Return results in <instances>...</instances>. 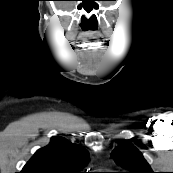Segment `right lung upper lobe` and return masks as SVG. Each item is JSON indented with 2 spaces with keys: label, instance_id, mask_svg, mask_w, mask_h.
Returning a JSON list of instances; mask_svg holds the SVG:
<instances>
[{
  "label": "right lung upper lobe",
  "instance_id": "cb5924a9",
  "mask_svg": "<svg viewBox=\"0 0 173 173\" xmlns=\"http://www.w3.org/2000/svg\"><path fill=\"white\" fill-rule=\"evenodd\" d=\"M88 152L63 137L54 136L46 147L40 148L20 173H83Z\"/></svg>",
  "mask_w": 173,
  "mask_h": 173
}]
</instances>
